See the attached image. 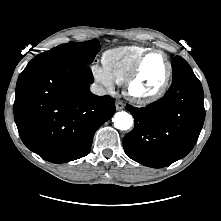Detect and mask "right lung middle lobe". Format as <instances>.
<instances>
[{
    "instance_id": "dd1d6c3e",
    "label": "right lung middle lobe",
    "mask_w": 221,
    "mask_h": 221,
    "mask_svg": "<svg viewBox=\"0 0 221 221\" xmlns=\"http://www.w3.org/2000/svg\"><path fill=\"white\" fill-rule=\"evenodd\" d=\"M100 48L98 40L66 43L35 56L31 61H66L89 65Z\"/></svg>"
}]
</instances>
